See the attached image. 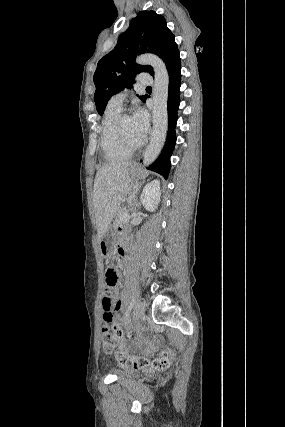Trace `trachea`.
Masks as SVG:
<instances>
[{
  "label": "trachea",
  "mask_w": 285,
  "mask_h": 427,
  "mask_svg": "<svg viewBox=\"0 0 285 427\" xmlns=\"http://www.w3.org/2000/svg\"><path fill=\"white\" fill-rule=\"evenodd\" d=\"M147 89H151V87H150V86H148V87H147Z\"/></svg>",
  "instance_id": "obj_1"
}]
</instances>
